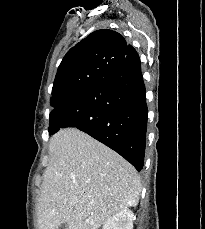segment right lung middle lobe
I'll return each mask as SVG.
<instances>
[{
    "label": "right lung middle lobe",
    "instance_id": "obj_1",
    "mask_svg": "<svg viewBox=\"0 0 205 229\" xmlns=\"http://www.w3.org/2000/svg\"><path fill=\"white\" fill-rule=\"evenodd\" d=\"M71 98H72V97L63 99L61 105L65 104V103H66L68 100H70ZM51 106H52V105H51ZM58 106H60V105H58ZM53 107H57V106H53Z\"/></svg>",
    "mask_w": 205,
    "mask_h": 229
}]
</instances>
